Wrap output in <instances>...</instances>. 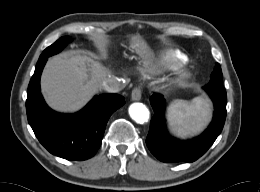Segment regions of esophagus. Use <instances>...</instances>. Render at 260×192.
<instances>
[{
  "label": "esophagus",
  "mask_w": 260,
  "mask_h": 192,
  "mask_svg": "<svg viewBox=\"0 0 260 192\" xmlns=\"http://www.w3.org/2000/svg\"><path fill=\"white\" fill-rule=\"evenodd\" d=\"M131 99L133 101H139L141 99V89L139 87H135L132 90Z\"/></svg>",
  "instance_id": "esophagus-1"
}]
</instances>
